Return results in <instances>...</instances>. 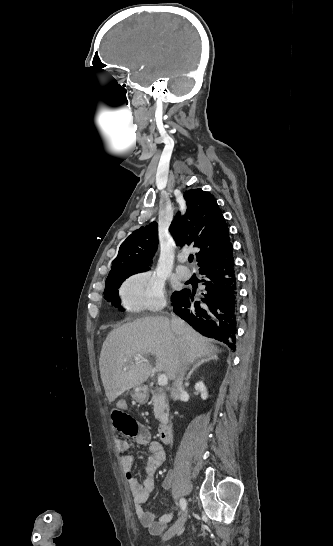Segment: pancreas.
I'll return each mask as SVG.
<instances>
[{
	"instance_id": "obj_1",
	"label": "pancreas",
	"mask_w": 333,
	"mask_h": 546,
	"mask_svg": "<svg viewBox=\"0 0 333 546\" xmlns=\"http://www.w3.org/2000/svg\"><path fill=\"white\" fill-rule=\"evenodd\" d=\"M151 392L153 394L151 398V403L154 406V416L157 419H161L164 416V410L167 408L165 395L159 388H156Z\"/></svg>"
}]
</instances>
